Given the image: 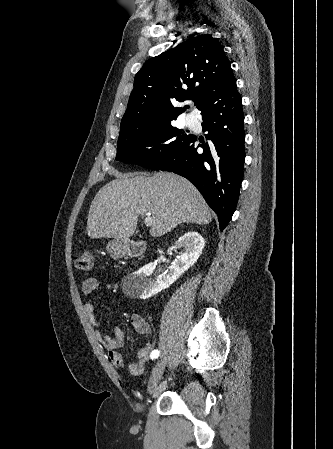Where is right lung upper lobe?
<instances>
[{
  "instance_id": "right-lung-upper-lobe-1",
  "label": "right lung upper lobe",
  "mask_w": 333,
  "mask_h": 449,
  "mask_svg": "<svg viewBox=\"0 0 333 449\" xmlns=\"http://www.w3.org/2000/svg\"><path fill=\"white\" fill-rule=\"evenodd\" d=\"M236 88L223 46L209 34L197 35L152 57L136 74L118 140L175 120L185 110L176 102L191 99L202 114Z\"/></svg>"
}]
</instances>
